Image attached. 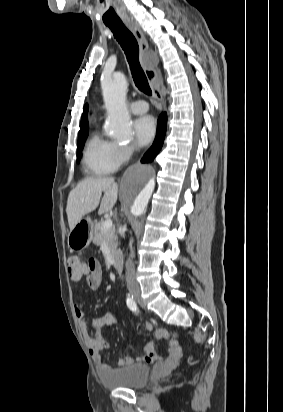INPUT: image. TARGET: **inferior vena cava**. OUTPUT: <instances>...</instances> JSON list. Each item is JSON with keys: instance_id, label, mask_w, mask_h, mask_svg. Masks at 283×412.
<instances>
[{"instance_id": "602c4592", "label": "inferior vena cava", "mask_w": 283, "mask_h": 412, "mask_svg": "<svg viewBox=\"0 0 283 412\" xmlns=\"http://www.w3.org/2000/svg\"><path fill=\"white\" fill-rule=\"evenodd\" d=\"M126 281L128 286H136L135 267L132 259L129 257L126 261Z\"/></svg>"}]
</instances>
